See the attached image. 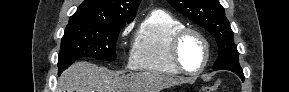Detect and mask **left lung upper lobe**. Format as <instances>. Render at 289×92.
Wrapping results in <instances>:
<instances>
[{"label": "left lung upper lobe", "instance_id": "1", "mask_svg": "<svg viewBox=\"0 0 289 92\" xmlns=\"http://www.w3.org/2000/svg\"><path fill=\"white\" fill-rule=\"evenodd\" d=\"M173 8L211 33L218 44L219 56L214 70L242 71L233 31L218 0H167Z\"/></svg>", "mask_w": 289, "mask_h": 92}]
</instances>
